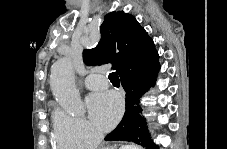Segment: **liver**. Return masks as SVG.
I'll list each match as a JSON object with an SVG mask.
<instances>
[{
    "instance_id": "1",
    "label": "liver",
    "mask_w": 227,
    "mask_h": 149,
    "mask_svg": "<svg viewBox=\"0 0 227 149\" xmlns=\"http://www.w3.org/2000/svg\"><path fill=\"white\" fill-rule=\"evenodd\" d=\"M132 149H140L139 146H130ZM105 149H113L112 147H106Z\"/></svg>"
}]
</instances>
